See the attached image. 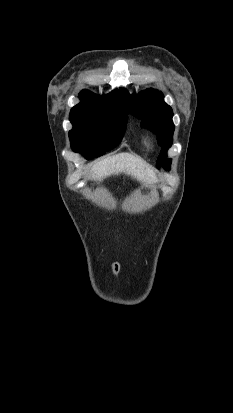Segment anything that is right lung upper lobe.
I'll return each instance as SVG.
<instances>
[{
    "mask_svg": "<svg viewBox=\"0 0 233 413\" xmlns=\"http://www.w3.org/2000/svg\"><path fill=\"white\" fill-rule=\"evenodd\" d=\"M79 97L81 100L99 102V103H109V104H123L125 107L123 91L114 90L110 94L97 96L88 90H83L80 92Z\"/></svg>",
    "mask_w": 233,
    "mask_h": 413,
    "instance_id": "cb5924a9",
    "label": "right lung upper lobe"
}]
</instances>
